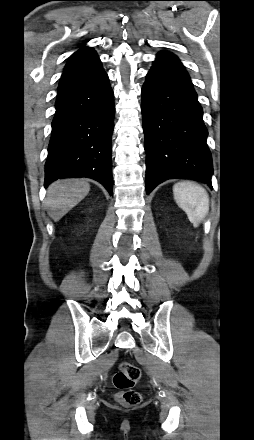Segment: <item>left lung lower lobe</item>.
Returning a JSON list of instances; mask_svg holds the SVG:
<instances>
[{
	"label": "left lung lower lobe",
	"mask_w": 254,
	"mask_h": 440,
	"mask_svg": "<svg viewBox=\"0 0 254 440\" xmlns=\"http://www.w3.org/2000/svg\"><path fill=\"white\" fill-rule=\"evenodd\" d=\"M146 192L168 179L211 185L207 129L190 76L178 57L161 51L142 87Z\"/></svg>",
	"instance_id": "1"
}]
</instances>
